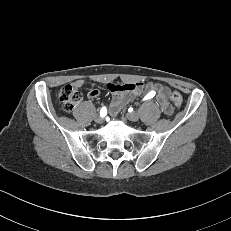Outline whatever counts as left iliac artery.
<instances>
[{"instance_id": "1", "label": "left iliac artery", "mask_w": 231, "mask_h": 231, "mask_svg": "<svg viewBox=\"0 0 231 231\" xmlns=\"http://www.w3.org/2000/svg\"><path fill=\"white\" fill-rule=\"evenodd\" d=\"M156 92L155 91H151L149 92L145 97H144V100H148V99H151L155 96Z\"/></svg>"}]
</instances>
